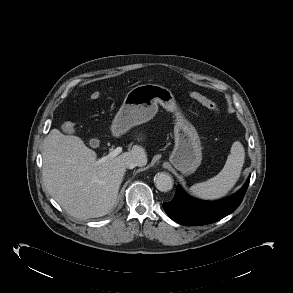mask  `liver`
Masks as SVG:
<instances>
[{
	"label": "liver",
	"mask_w": 293,
	"mask_h": 293,
	"mask_svg": "<svg viewBox=\"0 0 293 293\" xmlns=\"http://www.w3.org/2000/svg\"><path fill=\"white\" fill-rule=\"evenodd\" d=\"M42 158V176L49 194L77 219L110 212L126 173L125 159L134 158L140 166L147 163L145 149L138 145L117 157L97 160L95 151L79 137L64 135L58 129L44 139Z\"/></svg>",
	"instance_id": "6515ba94"
}]
</instances>
